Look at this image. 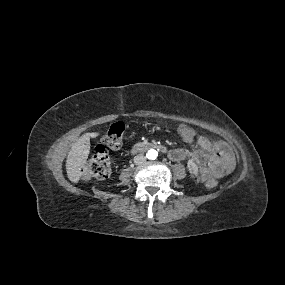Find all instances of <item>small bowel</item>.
Segmentation results:
<instances>
[{
	"instance_id": "small-bowel-1",
	"label": "small bowel",
	"mask_w": 285,
	"mask_h": 285,
	"mask_svg": "<svg viewBox=\"0 0 285 285\" xmlns=\"http://www.w3.org/2000/svg\"><path fill=\"white\" fill-rule=\"evenodd\" d=\"M197 145L199 149L195 151L174 149L170 152V158L174 161L191 160L197 166L200 178L222 177L233 170L234 157L226 142L200 136Z\"/></svg>"
}]
</instances>
